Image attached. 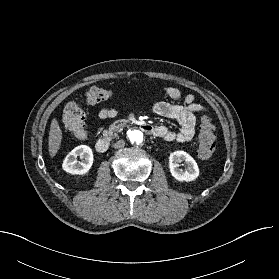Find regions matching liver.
Segmentation results:
<instances>
[{
	"label": "liver",
	"instance_id": "6515ba94",
	"mask_svg": "<svg viewBox=\"0 0 279 279\" xmlns=\"http://www.w3.org/2000/svg\"><path fill=\"white\" fill-rule=\"evenodd\" d=\"M62 141V130L58 124V121L54 118L50 125L49 138H48V150L51 158H53L58 152Z\"/></svg>",
	"mask_w": 279,
	"mask_h": 279
}]
</instances>
